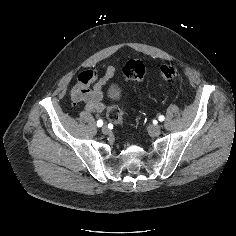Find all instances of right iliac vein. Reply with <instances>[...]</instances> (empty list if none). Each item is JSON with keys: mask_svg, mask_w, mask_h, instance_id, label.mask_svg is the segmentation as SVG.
Instances as JSON below:
<instances>
[{"mask_svg": "<svg viewBox=\"0 0 236 236\" xmlns=\"http://www.w3.org/2000/svg\"><path fill=\"white\" fill-rule=\"evenodd\" d=\"M102 132H103V134H108L109 133V128L106 125H104L102 127Z\"/></svg>", "mask_w": 236, "mask_h": 236, "instance_id": "obj_1", "label": "right iliac vein"}]
</instances>
